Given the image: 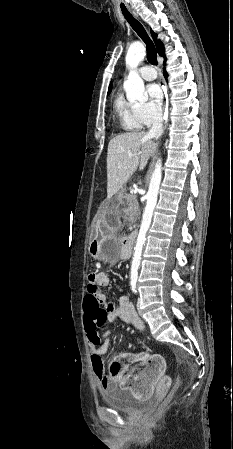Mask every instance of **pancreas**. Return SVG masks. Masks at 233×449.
I'll return each mask as SVG.
<instances>
[{
    "mask_svg": "<svg viewBox=\"0 0 233 449\" xmlns=\"http://www.w3.org/2000/svg\"><path fill=\"white\" fill-rule=\"evenodd\" d=\"M124 198H126L128 205V207L123 210L124 213L129 216H136L138 212V203L136 196L132 194H126Z\"/></svg>",
    "mask_w": 233,
    "mask_h": 449,
    "instance_id": "pancreas-1",
    "label": "pancreas"
}]
</instances>
